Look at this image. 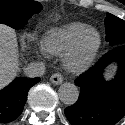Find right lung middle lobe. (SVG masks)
Masks as SVG:
<instances>
[{
	"instance_id": "obj_1",
	"label": "right lung middle lobe",
	"mask_w": 125,
	"mask_h": 125,
	"mask_svg": "<svg viewBox=\"0 0 125 125\" xmlns=\"http://www.w3.org/2000/svg\"><path fill=\"white\" fill-rule=\"evenodd\" d=\"M42 5L33 0H1L0 23L15 29H22L35 13L42 10Z\"/></svg>"
}]
</instances>
